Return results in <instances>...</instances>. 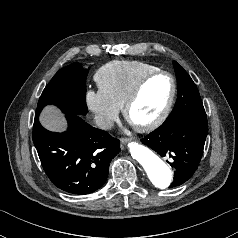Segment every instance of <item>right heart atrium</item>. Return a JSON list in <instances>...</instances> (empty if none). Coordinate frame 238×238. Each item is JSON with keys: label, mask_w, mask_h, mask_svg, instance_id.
Instances as JSON below:
<instances>
[{"label": "right heart atrium", "mask_w": 238, "mask_h": 238, "mask_svg": "<svg viewBox=\"0 0 238 238\" xmlns=\"http://www.w3.org/2000/svg\"><path fill=\"white\" fill-rule=\"evenodd\" d=\"M85 101L99 128L108 130L114 125L119 116V108L99 90H88L85 95Z\"/></svg>", "instance_id": "right-heart-atrium-1"}]
</instances>
